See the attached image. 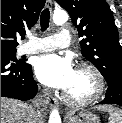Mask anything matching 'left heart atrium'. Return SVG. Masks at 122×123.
<instances>
[{"mask_svg": "<svg viewBox=\"0 0 122 123\" xmlns=\"http://www.w3.org/2000/svg\"><path fill=\"white\" fill-rule=\"evenodd\" d=\"M75 72L69 57L55 53L42 55L35 63L36 76L43 84L64 91L71 86Z\"/></svg>", "mask_w": 122, "mask_h": 123, "instance_id": "39dd6f15", "label": "left heart atrium"}]
</instances>
